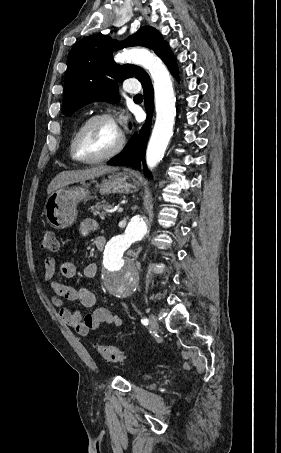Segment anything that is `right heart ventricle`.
Segmentation results:
<instances>
[{"mask_svg": "<svg viewBox=\"0 0 281 453\" xmlns=\"http://www.w3.org/2000/svg\"><path fill=\"white\" fill-rule=\"evenodd\" d=\"M74 135H75V133L72 135V137L70 139V150H71L72 154H73V138H74Z\"/></svg>", "mask_w": 281, "mask_h": 453, "instance_id": "1", "label": "right heart ventricle"}]
</instances>
